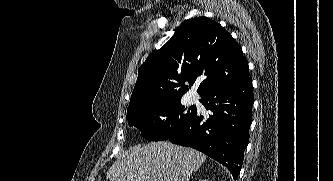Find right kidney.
<instances>
[{"mask_svg": "<svg viewBox=\"0 0 333 181\" xmlns=\"http://www.w3.org/2000/svg\"><path fill=\"white\" fill-rule=\"evenodd\" d=\"M199 181H208V180H199Z\"/></svg>", "mask_w": 333, "mask_h": 181, "instance_id": "obj_1", "label": "right kidney"}]
</instances>
